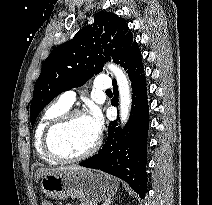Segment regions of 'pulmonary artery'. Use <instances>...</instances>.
<instances>
[{
  "instance_id": "1",
  "label": "pulmonary artery",
  "mask_w": 212,
  "mask_h": 205,
  "mask_svg": "<svg viewBox=\"0 0 212 205\" xmlns=\"http://www.w3.org/2000/svg\"><path fill=\"white\" fill-rule=\"evenodd\" d=\"M94 87L98 90L107 91L111 88V80L106 75H99L95 78ZM76 100V92L74 90H68L63 92L59 101L67 107H71Z\"/></svg>"
}]
</instances>
